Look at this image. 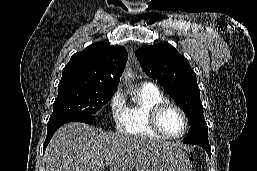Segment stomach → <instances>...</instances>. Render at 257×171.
Listing matches in <instances>:
<instances>
[{"mask_svg": "<svg viewBox=\"0 0 257 171\" xmlns=\"http://www.w3.org/2000/svg\"><path fill=\"white\" fill-rule=\"evenodd\" d=\"M135 171H192V164L178 147L159 146L142 154Z\"/></svg>", "mask_w": 257, "mask_h": 171, "instance_id": "obj_1", "label": "stomach"}]
</instances>
